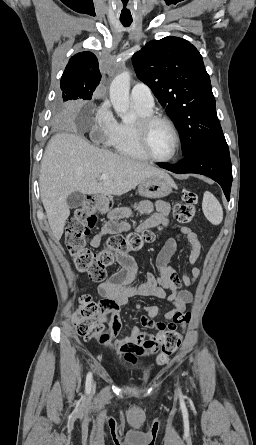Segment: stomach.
<instances>
[{
    "instance_id": "1",
    "label": "stomach",
    "mask_w": 256,
    "mask_h": 445,
    "mask_svg": "<svg viewBox=\"0 0 256 445\" xmlns=\"http://www.w3.org/2000/svg\"><path fill=\"white\" fill-rule=\"evenodd\" d=\"M174 187L173 180L167 175H156L150 177L138 186V193L150 199H160L168 196ZM109 201L104 196H98L96 200L97 208L99 210H105ZM109 217L111 220H119L122 218V212L119 209H115L110 212Z\"/></svg>"
}]
</instances>
